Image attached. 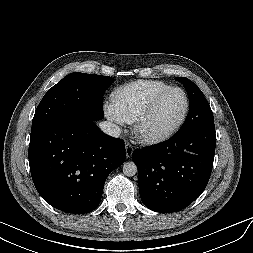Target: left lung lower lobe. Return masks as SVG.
<instances>
[{"mask_svg":"<svg viewBox=\"0 0 253 253\" xmlns=\"http://www.w3.org/2000/svg\"><path fill=\"white\" fill-rule=\"evenodd\" d=\"M215 147V126L211 124L177 132L164 143L135 150L132 160L138 168L142 202L162 213L190 205L209 181Z\"/></svg>","mask_w":253,"mask_h":253,"instance_id":"1","label":"left lung lower lobe"}]
</instances>
